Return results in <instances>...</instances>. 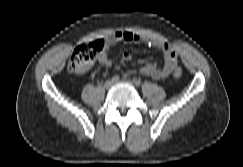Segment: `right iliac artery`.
<instances>
[{"instance_id":"1","label":"right iliac artery","mask_w":243,"mask_h":167,"mask_svg":"<svg viewBox=\"0 0 243 167\" xmlns=\"http://www.w3.org/2000/svg\"><path fill=\"white\" fill-rule=\"evenodd\" d=\"M112 81H113V82H118V81H119V76H118V75H114V76L112 77Z\"/></svg>"}]
</instances>
